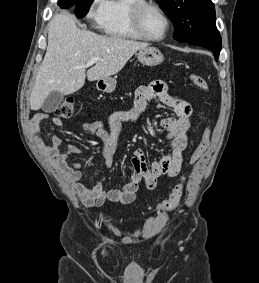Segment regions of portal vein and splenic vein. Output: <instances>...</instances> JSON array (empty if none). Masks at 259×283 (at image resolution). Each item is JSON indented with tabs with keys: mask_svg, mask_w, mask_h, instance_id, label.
<instances>
[{
	"mask_svg": "<svg viewBox=\"0 0 259 283\" xmlns=\"http://www.w3.org/2000/svg\"><path fill=\"white\" fill-rule=\"evenodd\" d=\"M100 61V59L99 58H92V59H90L86 64H85V67L87 68V67H90V66H92L93 64H95V63H97V62H99Z\"/></svg>",
	"mask_w": 259,
	"mask_h": 283,
	"instance_id": "portal-vein-and-splenic-vein-1",
	"label": "portal vein and splenic vein"
}]
</instances>
